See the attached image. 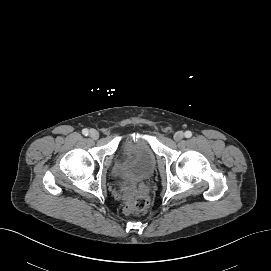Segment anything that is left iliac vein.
I'll use <instances>...</instances> for the list:
<instances>
[{
    "label": "left iliac vein",
    "mask_w": 271,
    "mask_h": 271,
    "mask_svg": "<svg viewBox=\"0 0 271 271\" xmlns=\"http://www.w3.org/2000/svg\"><path fill=\"white\" fill-rule=\"evenodd\" d=\"M184 137V133L182 131H177L175 134H174V140L179 142L183 139Z\"/></svg>",
    "instance_id": "obj_1"
}]
</instances>
